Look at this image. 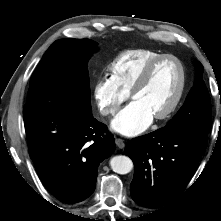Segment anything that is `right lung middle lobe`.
<instances>
[{"label":"right lung middle lobe","mask_w":221,"mask_h":221,"mask_svg":"<svg viewBox=\"0 0 221 221\" xmlns=\"http://www.w3.org/2000/svg\"><path fill=\"white\" fill-rule=\"evenodd\" d=\"M95 50L96 42L90 39L55 41L31 77L27 103L64 100L76 108L91 111L87 63Z\"/></svg>","instance_id":"dd1d6c3e"}]
</instances>
